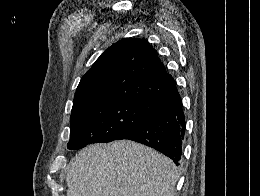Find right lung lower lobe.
Instances as JSON below:
<instances>
[{
    "instance_id": "right-lung-lower-lobe-1",
    "label": "right lung lower lobe",
    "mask_w": 260,
    "mask_h": 196,
    "mask_svg": "<svg viewBox=\"0 0 260 196\" xmlns=\"http://www.w3.org/2000/svg\"><path fill=\"white\" fill-rule=\"evenodd\" d=\"M152 117L120 136L152 147L179 165L183 156L185 116L176 84L161 95L141 104Z\"/></svg>"
}]
</instances>
